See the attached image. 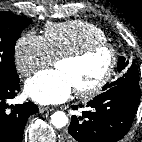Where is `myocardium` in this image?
<instances>
[{
  "instance_id": "obj_1",
  "label": "myocardium",
  "mask_w": 142,
  "mask_h": 142,
  "mask_svg": "<svg viewBox=\"0 0 142 142\" xmlns=\"http://www.w3.org/2000/svg\"><path fill=\"white\" fill-rule=\"evenodd\" d=\"M100 50H105L108 52L110 61L107 70L103 74V76L94 84L82 87V88H75V92L79 95L83 96H91L100 92L112 79L117 64H118V52L117 50L107 42H95L85 45L84 47L75 50L73 52H69L66 54L61 55L57 58L58 61H81L88 56L92 55L95 52Z\"/></svg>"
}]
</instances>
